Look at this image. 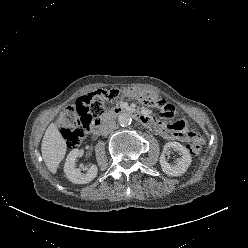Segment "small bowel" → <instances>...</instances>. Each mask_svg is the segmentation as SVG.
I'll return each instance as SVG.
<instances>
[{"instance_id": "c3829d8e", "label": "small bowel", "mask_w": 248, "mask_h": 248, "mask_svg": "<svg viewBox=\"0 0 248 248\" xmlns=\"http://www.w3.org/2000/svg\"><path fill=\"white\" fill-rule=\"evenodd\" d=\"M155 128L162 137L170 140L189 142L191 140L200 139L198 133L189 130L188 125L184 120H178L168 125L156 122Z\"/></svg>"}]
</instances>
